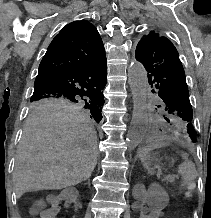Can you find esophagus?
Wrapping results in <instances>:
<instances>
[{
    "instance_id": "esophagus-1",
    "label": "esophagus",
    "mask_w": 211,
    "mask_h": 218,
    "mask_svg": "<svg viewBox=\"0 0 211 218\" xmlns=\"http://www.w3.org/2000/svg\"><path fill=\"white\" fill-rule=\"evenodd\" d=\"M128 96L131 98L133 95L130 93ZM130 98L127 100L129 103L132 101ZM127 107L130 109L132 106L129 104Z\"/></svg>"
}]
</instances>
